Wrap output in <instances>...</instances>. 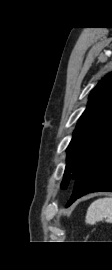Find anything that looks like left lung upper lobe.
<instances>
[{
  "label": "left lung upper lobe",
  "mask_w": 112,
  "mask_h": 270,
  "mask_svg": "<svg viewBox=\"0 0 112 270\" xmlns=\"http://www.w3.org/2000/svg\"><path fill=\"white\" fill-rule=\"evenodd\" d=\"M112 149V72L92 90L67 148V163L61 188Z\"/></svg>",
  "instance_id": "5c2ea615"
}]
</instances>
